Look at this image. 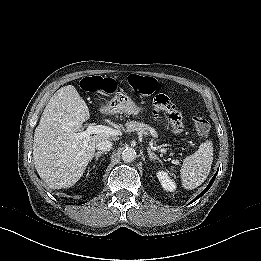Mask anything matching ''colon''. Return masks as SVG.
Wrapping results in <instances>:
<instances>
[{"instance_id":"1","label":"colon","mask_w":261,"mask_h":261,"mask_svg":"<svg viewBox=\"0 0 261 261\" xmlns=\"http://www.w3.org/2000/svg\"><path fill=\"white\" fill-rule=\"evenodd\" d=\"M131 86L140 94L152 95L153 104L157 110L163 111L167 114L171 126L176 132L182 131V117L175 106L171 103L169 98L162 93H158L160 86L156 79L144 75L133 74L129 78ZM81 88L89 93L105 92L113 93L116 89V84L111 79H103L101 77H88L84 78L80 82ZM194 123L201 133H207L209 130V124L201 116H195L193 118Z\"/></svg>"}]
</instances>
